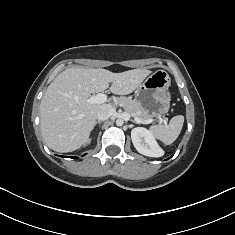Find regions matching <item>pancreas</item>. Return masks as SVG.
I'll use <instances>...</instances> for the list:
<instances>
[{
  "instance_id": "pancreas-1",
  "label": "pancreas",
  "mask_w": 235,
  "mask_h": 235,
  "mask_svg": "<svg viewBox=\"0 0 235 235\" xmlns=\"http://www.w3.org/2000/svg\"><path fill=\"white\" fill-rule=\"evenodd\" d=\"M118 103L134 118H139L141 120H148L151 118V115L148 114L136 100H132L129 97H120Z\"/></svg>"
}]
</instances>
